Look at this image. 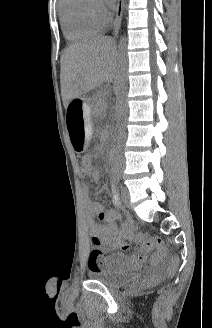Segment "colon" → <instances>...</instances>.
Segmentation results:
<instances>
[{"label": "colon", "mask_w": 212, "mask_h": 328, "mask_svg": "<svg viewBox=\"0 0 212 328\" xmlns=\"http://www.w3.org/2000/svg\"><path fill=\"white\" fill-rule=\"evenodd\" d=\"M80 161V170H92L93 169V157L90 156V153H81L79 158ZM129 239L135 242L140 249L150 250L153 249L154 253L150 258L151 263H157L163 261L167 256V248L163 240L159 237H151L142 232H131ZM93 243L96 246L93 249L89 256V264H95L96 262L104 263L102 252L97 248L99 245L98 238H93ZM127 246H124L123 249H126ZM179 266V259L175 256L170 257L165 265L166 271L168 273H174Z\"/></svg>", "instance_id": "5ec220e1"}]
</instances>
